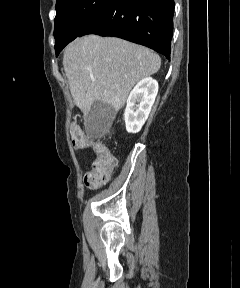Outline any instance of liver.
Masks as SVG:
<instances>
[{"instance_id": "liver-1", "label": "liver", "mask_w": 240, "mask_h": 288, "mask_svg": "<svg viewBox=\"0 0 240 288\" xmlns=\"http://www.w3.org/2000/svg\"><path fill=\"white\" fill-rule=\"evenodd\" d=\"M63 65L74 103L87 115L96 101L119 111L132 87L159 71L161 58L120 38L88 35L66 47Z\"/></svg>"}]
</instances>
